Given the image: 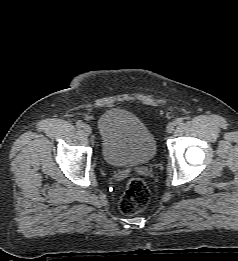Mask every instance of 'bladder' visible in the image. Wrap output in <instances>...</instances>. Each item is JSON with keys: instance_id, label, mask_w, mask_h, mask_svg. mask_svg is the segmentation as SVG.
I'll use <instances>...</instances> for the list:
<instances>
[{"instance_id": "1", "label": "bladder", "mask_w": 238, "mask_h": 261, "mask_svg": "<svg viewBox=\"0 0 238 261\" xmlns=\"http://www.w3.org/2000/svg\"><path fill=\"white\" fill-rule=\"evenodd\" d=\"M101 153L106 163L116 167L148 163L156 154V141L135 114L110 109L98 120Z\"/></svg>"}]
</instances>
